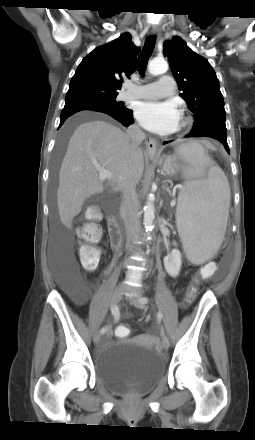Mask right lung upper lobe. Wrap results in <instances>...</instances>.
<instances>
[{
  "mask_svg": "<svg viewBox=\"0 0 255 440\" xmlns=\"http://www.w3.org/2000/svg\"><path fill=\"white\" fill-rule=\"evenodd\" d=\"M136 47L129 33L95 48L79 64L69 85L66 102L82 100L93 93L118 94L124 76L136 69Z\"/></svg>",
  "mask_w": 255,
  "mask_h": 440,
  "instance_id": "1",
  "label": "right lung upper lobe"
}]
</instances>
